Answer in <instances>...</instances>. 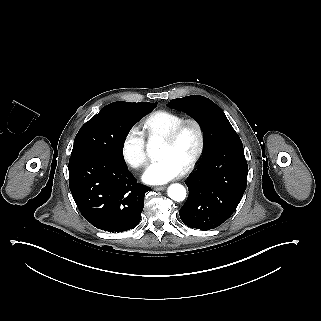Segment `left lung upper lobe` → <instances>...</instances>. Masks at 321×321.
Instances as JSON below:
<instances>
[{
  "instance_id": "left-lung-upper-lobe-1",
  "label": "left lung upper lobe",
  "mask_w": 321,
  "mask_h": 321,
  "mask_svg": "<svg viewBox=\"0 0 321 321\" xmlns=\"http://www.w3.org/2000/svg\"><path fill=\"white\" fill-rule=\"evenodd\" d=\"M168 106L187 113L199 123L204 134L203 157L225 142L240 140L224 112L208 98L191 95L173 99Z\"/></svg>"
}]
</instances>
